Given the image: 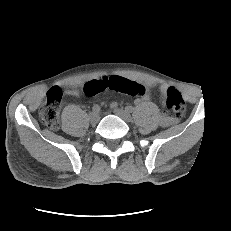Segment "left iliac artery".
Masks as SVG:
<instances>
[{"instance_id": "obj_1", "label": "left iliac artery", "mask_w": 231, "mask_h": 231, "mask_svg": "<svg viewBox=\"0 0 231 231\" xmlns=\"http://www.w3.org/2000/svg\"><path fill=\"white\" fill-rule=\"evenodd\" d=\"M125 110H126L128 113H132V112L134 111V107H132V106H127V107L125 108Z\"/></svg>"}]
</instances>
